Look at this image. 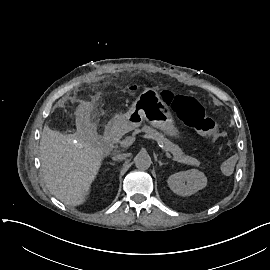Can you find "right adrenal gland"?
I'll use <instances>...</instances> for the list:
<instances>
[{"label":"right adrenal gland","mask_w":270,"mask_h":270,"mask_svg":"<svg viewBox=\"0 0 270 270\" xmlns=\"http://www.w3.org/2000/svg\"><path fill=\"white\" fill-rule=\"evenodd\" d=\"M110 165L114 166L115 164L114 163H111Z\"/></svg>","instance_id":"right-adrenal-gland-1"}]
</instances>
